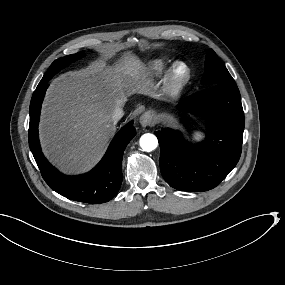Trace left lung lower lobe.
I'll use <instances>...</instances> for the list:
<instances>
[{
    "label": "left lung lower lobe",
    "instance_id": "left-lung-lower-lobe-1",
    "mask_svg": "<svg viewBox=\"0 0 285 285\" xmlns=\"http://www.w3.org/2000/svg\"><path fill=\"white\" fill-rule=\"evenodd\" d=\"M179 108L205 116L208 134L199 145L185 146L178 131H156L162 176L178 190L213 189L236 166L241 155L244 112L237 85H212L183 99Z\"/></svg>",
    "mask_w": 285,
    "mask_h": 285
}]
</instances>
